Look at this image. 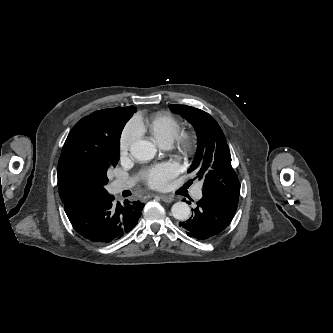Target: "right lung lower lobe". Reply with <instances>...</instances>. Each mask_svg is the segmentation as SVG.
<instances>
[{
    "instance_id": "right-lung-lower-lobe-1",
    "label": "right lung lower lobe",
    "mask_w": 333,
    "mask_h": 333,
    "mask_svg": "<svg viewBox=\"0 0 333 333\" xmlns=\"http://www.w3.org/2000/svg\"><path fill=\"white\" fill-rule=\"evenodd\" d=\"M144 204L139 201L114 203V197L92 198L65 205L75 231L88 241L107 244L129 233L137 224Z\"/></svg>"
}]
</instances>
